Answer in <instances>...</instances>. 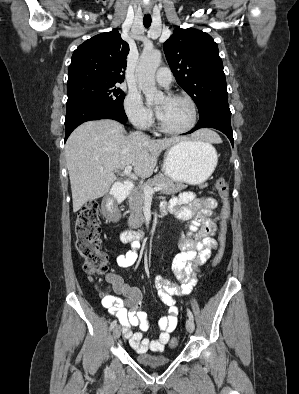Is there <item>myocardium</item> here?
Returning <instances> with one entry per match:
<instances>
[{"mask_svg":"<svg viewBox=\"0 0 299 394\" xmlns=\"http://www.w3.org/2000/svg\"><path fill=\"white\" fill-rule=\"evenodd\" d=\"M168 99L171 100H184L186 101L192 110V120L190 122V124L184 128L181 129H172L167 127L161 120L159 114L157 115V122H158V126L160 128L161 131L167 133V134H172V135H179V134H184L187 133L189 131H191L197 124V120H198V109L196 106V103L194 102V100L184 94H170L167 96Z\"/></svg>","mask_w":299,"mask_h":394,"instance_id":"obj_1","label":"myocardium"}]
</instances>
